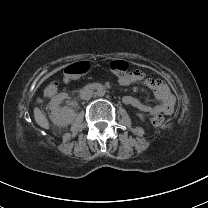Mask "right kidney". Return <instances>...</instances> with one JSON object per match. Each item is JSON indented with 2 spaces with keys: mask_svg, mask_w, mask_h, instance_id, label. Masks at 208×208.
I'll return each mask as SVG.
<instances>
[{
  "mask_svg": "<svg viewBox=\"0 0 208 208\" xmlns=\"http://www.w3.org/2000/svg\"><path fill=\"white\" fill-rule=\"evenodd\" d=\"M67 98V93H59L56 96H54L49 103V108L51 110L50 119L57 126H67L71 124L74 118L76 117V113L73 109L67 106H59V104Z\"/></svg>",
  "mask_w": 208,
  "mask_h": 208,
  "instance_id": "obj_1",
  "label": "right kidney"
}]
</instances>
